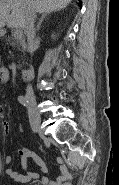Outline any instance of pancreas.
Listing matches in <instances>:
<instances>
[{"instance_id": "pancreas-1", "label": "pancreas", "mask_w": 119, "mask_h": 185, "mask_svg": "<svg viewBox=\"0 0 119 185\" xmlns=\"http://www.w3.org/2000/svg\"><path fill=\"white\" fill-rule=\"evenodd\" d=\"M8 42L11 46L13 47H21L23 51L26 50L27 45L25 42V38L23 36V34L20 37H15V34H12L11 37L8 38Z\"/></svg>"}]
</instances>
